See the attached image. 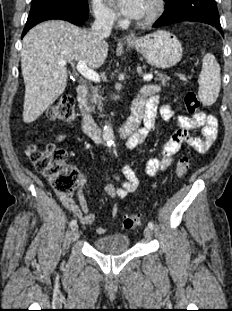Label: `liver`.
<instances>
[{
  "label": "liver",
  "instance_id": "1",
  "mask_svg": "<svg viewBox=\"0 0 232 311\" xmlns=\"http://www.w3.org/2000/svg\"><path fill=\"white\" fill-rule=\"evenodd\" d=\"M108 48L93 32L65 21H48L31 29L21 51L24 122L35 121L64 92L68 72L59 61H84L97 69L107 58Z\"/></svg>",
  "mask_w": 232,
  "mask_h": 311
}]
</instances>
